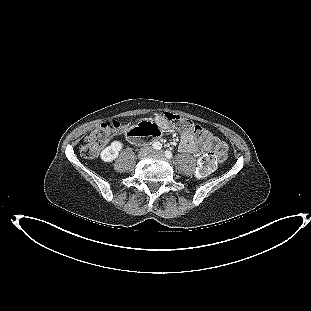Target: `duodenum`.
<instances>
[{
    "label": "duodenum",
    "instance_id": "1",
    "mask_svg": "<svg viewBox=\"0 0 311 311\" xmlns=\"http://www.w3.org/2000/svg\"><path fill=\"white\" fill-rule=\"evenodd\" d=\"M128 140H129L130 142H132V143L137 144V143L140 142V137L137 136V135H132V134H130V135L128 136Z\"/></svg>",
    "mask_w": 311,
    "mask_h": 311
}]
</instances>
